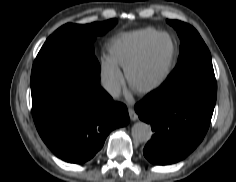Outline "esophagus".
Listing matches in <instances>:
<instances>
[{"instance_id": "34e87169", "label": "esophagus", "mask_w": 236, "mask_h": 182, "mask_svg": "<svg viewBox=\"0 0 236 182\" xmlns=\"http://www.w3.org/2000/svg\"><path fill=\"white\" fill-rule=\"evenodd\" d=\"M128 113H129L130 119L132 121H136L138 119V115L136 114V112L134 111L133 108L129 107L128 108Z\"/></svg>"}]
</instances>
